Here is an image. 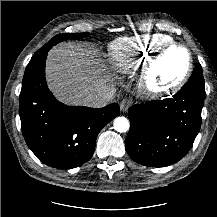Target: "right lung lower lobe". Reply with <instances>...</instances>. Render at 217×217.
Returning <instances> with one entry per match:
<instances>
[{
  "instance_id": "obj_1",
  "label": "right lung lower lobe",
  "mask_w": 217,
  "mask_h": 217,
  "mask_svg": "<svg viewBox=\"0 0 217 217\" xmlns=\"http://www.w3.org/2000/svg\"><path fill=\"white\" fill-rule=\"evenodd\" d=\"M47 52L32 57L19 96L24 139L44 164L71 169L93 155L98 133L119 114V105L103 108L69 107L52 95L45 80Z\"/></svg>"
}]
</instances>
